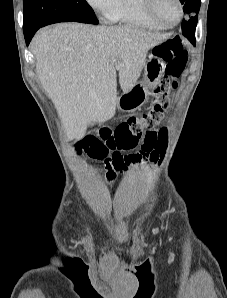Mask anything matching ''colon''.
I'll list each match as a JSON object with an SVG mask.
<instances>
[{
    "mask_svg": "<svg viewBox=\"0 0 227 298\" xmlns=\"http://www.w3.org/2000/svg\"><path fill=\"white\" fill-rule=\"evenodd\" d=\"M157 57L165 63V77L154 90L155 100L149 110L130 117L115 128L103 127L95 139H105L111 150H132L143 139L141 150L152 155L160 154L167 145V133L164 129L156 132L154 128L161 122L169 105L170 95L177 86L187 63V51L179 37H173L154 49ZM85 139V138H84Z\"/></svg>",
    "mask_w": 227,
    "mask_h": 298,
    "instance_id": "obj_1",
    "label": "colon"
}]
</instances>
